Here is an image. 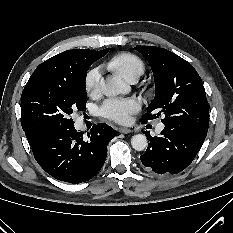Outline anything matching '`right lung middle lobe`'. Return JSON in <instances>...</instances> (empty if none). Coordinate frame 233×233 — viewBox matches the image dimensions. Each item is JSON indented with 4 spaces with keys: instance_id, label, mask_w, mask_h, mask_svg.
I'll return each instance as SVG.
<instances>
[{
    "instance_id": "1",
    "label": "right lung middle lobe",
    "mask_w": 233,
    "mask_h": 233,
    "mask_svg": "<svg viewBox=\"0 0 233 233\" xmlns=\"http://www.w3.org/2000/svg\"><path fill=\"white\" fill-rule=\"evenodd\" d=\"M94 62L79 63L67 81L36 78L27 82L21 95V125L30 146L51 133L74 126L72 114L86 109L85 79Z\"/></svg>"
}]
</instances>
